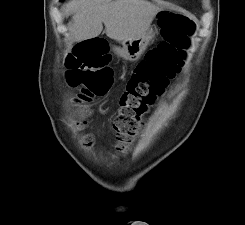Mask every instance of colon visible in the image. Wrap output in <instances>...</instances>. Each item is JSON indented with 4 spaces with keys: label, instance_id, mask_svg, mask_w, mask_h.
Listing matches in <instances>:
<instances>
[{
    "label": "colon",
    "instance_id": "1",
    "mask_svg": "<svg viewBox=\"0 0 245 225\" xmlns=\"http://www.w3.org/2000/svg\"><path fill=\"white\" fill-rule=\"evenodd\" d=\"M163 40L148 52L131 71L127 88L121 95V106L114 120L117 149L127 152L140 134L148 109L178 74L185 63V48L194 24L173 11H162L158 17ZM111 56L103 40L82 39L68 54L64 76L72 86L83 85L76 101L81 117L76 126L82 130L91 114L89 104L105 96L113 83ZM90 137L85 138L89 144Z\"/></svg>",
    "mask_w": 245,
    "mask_h": 225
}]
</instances>
